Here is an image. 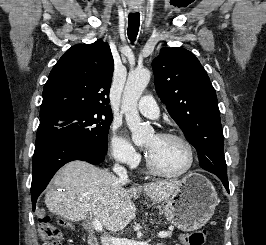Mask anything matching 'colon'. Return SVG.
Listing matches in <instances>:
<instances>
[{
	"instance_id": "obj_1",
	"label": "colon",
	"mask_w": 266,
	"mask_h": 245,
	"mask_svg": "<svg viewBox=\"0 0 266 245\" xmlns=\"http://www.w3.org/2000/svg\"><path fill=\"white\" fill-rule=\"evenodd\" d=\"M38 230L44 245H63L60 234L51 222V217L41 213L38 217ZM207 237V230H195L183 235L185 245H204Z\"/></svg>"
}]
</instances>
